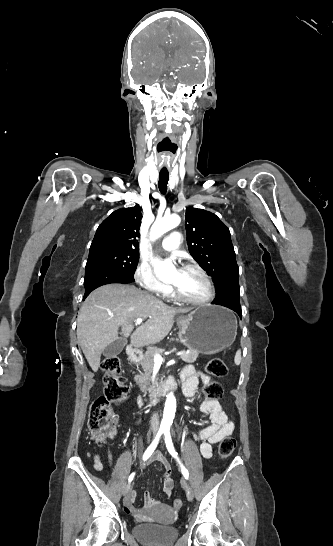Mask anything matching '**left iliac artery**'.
I'll return each instance as SVG.
<instances>
[{
	"label": "left iliac artery",
	"mask_w": 333,
	"mask_h": 546,
	"mask_svg": "<svg viewBox=\"0 0 333 546\" xmlns=\"http://www.w3.org/2000/svg\"><path fill=\"white\" fill-rule=\"evenodd\" d=\"M164 437H165L166 447H167L169 453L179 463V465L181 467L182 474L184 475L185 479H188L189 473H188L187 469L182 465V463H181V461H180V459L178 457V453L176 452V450L174 448L169 429L164 430Z\"/></svg>",
	"instance_id": "left-iliac-artery-1"
}]
</instances>
